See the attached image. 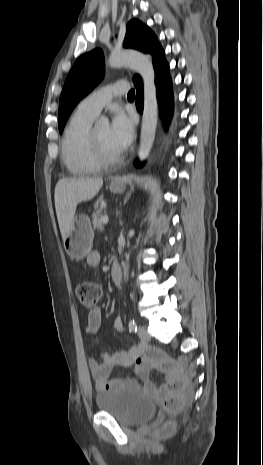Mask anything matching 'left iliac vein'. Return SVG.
<instances>
[{
  "label": "left iliac vein",
  "mask_w": 263,
  "mask_h": 465,
  "mask_svg": "<svg viewBox=\"0 0 263 465\" xmlns=\"http://www.w3.org/2000/svg\"><path fill=\"white\" fill-rule=\"evenodd\" d=\"M138 335H139L140 339L143 340V341H149L151 339V336L148 333L147 328L145 326H143V325H140L138 327Z\"/></svg>",
  "instance_id": "1"
}]
</instances>
